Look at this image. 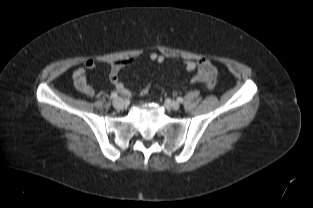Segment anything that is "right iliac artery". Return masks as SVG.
I'll use <instances>...</instances> for the list:
<instances>
[{
  "label": "right iliac artery",
  "mask_w": 313,
  "mask_h": 208,
  "mask_svg": "<svg viewBox=\"0 0 313 208\" xmlns=\"http://www.w3.org/2000/svg\"><path fill=\"white\" fill-rule=\"evenodd\" d=\"M111 97L115 99V98L118 97V94H117L116 92H112V93H111Z\"/></svg>",
  "instance_id": "82829eb1"
}]
</instances>
